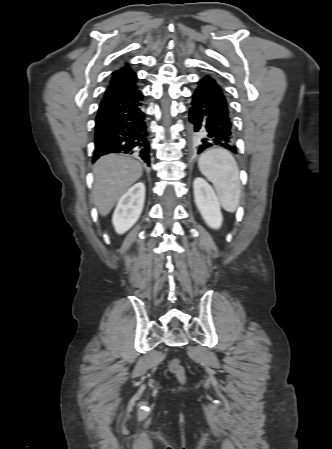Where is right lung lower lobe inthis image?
<instances>
[{
    "label": "right lung lower lobe",
    "instance_id": "obj_1",
    "mask_svg": "<svg viewBox=\"0 0 332 449\" xmlns=\"http://www.w3.org/2000/svg\"><path fill=\"white\" fill-rule=\"evenodd\" d=\"M147 136L141 91L104 96L96 117L93 161L109 153H124L149 164Z\"/></svg>",
    "mask_w": 332,
    "mask_h": 449
}]
</instances>
